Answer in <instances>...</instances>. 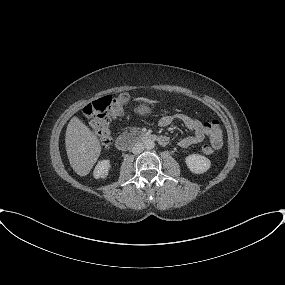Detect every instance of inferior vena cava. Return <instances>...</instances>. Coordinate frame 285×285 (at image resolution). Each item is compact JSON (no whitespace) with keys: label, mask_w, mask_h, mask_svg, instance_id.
<instances>
[{"label":"inferior vena cava","mask_w":285,"mask_h":285,"mask_svg":"<svg viewBox=\"0 0 285 285\" xmlns=\"http://www.w3.org/2000/svg\"><path fill=\"white\" fill-rule=\"evenodd\" d=\"M144 144L143 143H136L132 148V153L137 155L144 151Z\"/></svg>","instance_id":"1"}]
</instances>
